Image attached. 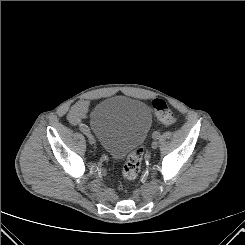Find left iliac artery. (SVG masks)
Returning <instances> with one entry per match:
<instances>
[{"instance_id": "left-iliac-artery-1", "label": "left iliac artery", "mask_w": 245, "mask_h": 245, "mask_svg": "<svg viewBox=\"0 0 245 245\" xmlns=\"http://www.w3.org/2000/svg\"><path fill=\"white\" fill-rule=\"evenodd\" d=\"M152 137L154 138V139H158L159 137H160V133L159 132H154L153 134H152Z\"/></svg>"}]
</instances>
